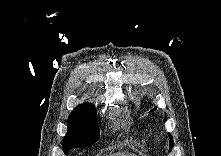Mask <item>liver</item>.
<instances>
[{"label":"liver","mask_w":221,"mask_h":156,"mask_svg":"<svg viewBox=\"0 0 221 156\" xmlns=\"http://www.w3.org/2000/svg\"><path fill=\"white\" fill-rule=\"evenodd\" d=\"M111 156H135L134 154L132 153H126V152H119V153H115Z\"/></svg>","instance_id":"liver-1"}]
</instances>
